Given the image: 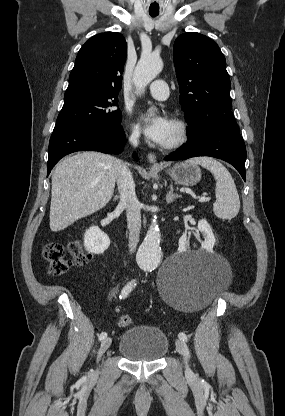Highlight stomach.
I'll list each match as a JSON object with an SVG mask.
<instances>
[{
  "label": "stomach",
  "instance_id": "stomach-1",
  "mask_svg": "<svg viewBox=\"0 0 285 416\" xmlns=\"http://www.w3.org/2000/svg\"><path fill=\"white\" fill-rule=\"evenodd\" d=\"M157 170H162L159 166H156ZM169 176H171L174 182L181 184V186H195L197 182L201 180V170L196 164H175L171 170H167Z\"/></svg>",
  "mask_w": 285,
  "mask_h": 416
}]
</instances>
